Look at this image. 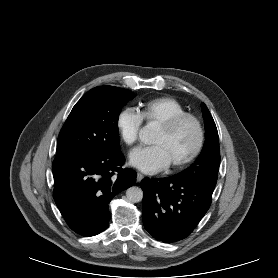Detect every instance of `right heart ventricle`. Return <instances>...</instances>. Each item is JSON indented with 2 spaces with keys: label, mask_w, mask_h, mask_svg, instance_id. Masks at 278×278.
I'll return each instance as SVG.
<instances>
[{
  "label": "right heart ventricle",
  "mask_w": 278,
  "mask_h": 278,
  "mask_svg": "<svg viewBox=\"0 0 278 278\" xmlns=\"http://www.w3.org/2000/svg\"><path fill=\"white\" fill-rule=\"evenodd\" d=\"M138 112L146 123H157L160 125L177 115L186 113V109L175 98L157 97L141 102Z\"/></svg>",
  "instance_id": "obj_1"
}]
</instances>
